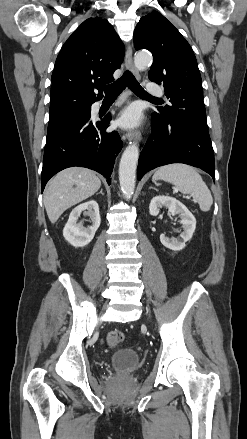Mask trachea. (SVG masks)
I'll use <instances>...</instances> for the list:
<instances>
[{
	"instance_id": "3493384b",
	"label": "trachea",
	"mask_w": 247,
	"mask_h": 439,
	"mask_svg": "<svg viewBox=\"0 0 247 439\" xmlns=\"http://www.w3.org/2000/svg\"><path fill=\"white\" fill-rule=\"evenodd\" d=\"M140 97L158 100V98L148 94L136 80L130 71H125L121 78L104 87L106 96H118L126 87Z\"/></svg>"
}]
</instances>
